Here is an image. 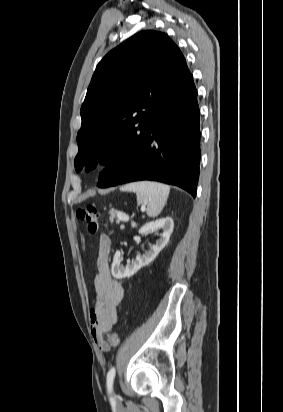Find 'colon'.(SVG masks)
Returning a JSON list of instances; mask_svg holds the SVG:
<instances>
[{
    "label": "colon",
    "instance_id": "obj_1",
    "mask_svg": "<svg viewBox=\"0 0 283 412\" xmlns=\"http://www.w3.org/2000/svg\"><path fill=\"white\" fill-rule=\"evenodd\" d=\"M76 216L82 222L89 234H96L99 229L100 214L93 205H87L77 210ZM119 335L113 331L104 332L102 335L103 347H116L119 344Z\"/></svg>",
    "mask_w": 283,
    "mask_h": 412
}]
</instances>
